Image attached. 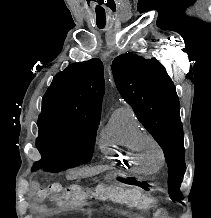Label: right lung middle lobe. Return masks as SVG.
<instances>
[{"label":"right lung middle lobe","instance_id":"1","mask_svg":"<svg viewBox=\"0 0 211 218\" xmlns=\"http://www.w3.org/2000/svg\"><path fill=\"white\" fill-rule=\"evenodd\" d=\"M99 121V117L45 112L39 115L37 143L72 144L83 150V160L59 164L54 168L56 172L91 160Z\"/></svg>","mask_w":211,"mask_h":218}]
</instances>
